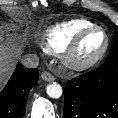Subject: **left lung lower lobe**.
Segmentation results:
<instances>
[{"mask_svg": "<svg viewBox=\"0 0 118 118\" xmlns=\"http://www.w3.org/2000/svg\"><path fill=\"white\" fill-rule=\"evenodd\" d=\"M64 118H118V60L67 82Z\"/></svg>", "mask_w": 118, "mask_h": 118, "instance_id": "left-lung-lower-lobe-1", "label": "left lung lower lobe"}]
</instances>
